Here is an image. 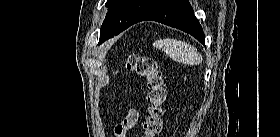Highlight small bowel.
Instances as JSON below:
<instances>
[{"label":"small bowel","mask_w":280,"mask_h":137,"mask_svg":"<svg viewBox=\"0 0 280 137\" xmlns=\"http://www.w3.org/2000/svg\"><path fill=\"white\" fill-rule=\"evenodd\" d=\"M138 117H139V112L135 108H130L128 109L121 123L128 125L130 129L136 124Z\"/></svg>","instance_id":"obj_1"}]
</instances>
